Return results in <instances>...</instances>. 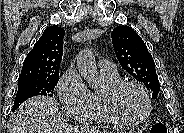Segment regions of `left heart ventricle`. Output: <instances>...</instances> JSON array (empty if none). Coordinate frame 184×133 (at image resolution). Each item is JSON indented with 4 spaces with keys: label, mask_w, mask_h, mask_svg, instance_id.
<instances>
[{
    "label": "left heart ventricle",
    "mask_w": 184,
    "mask_h": 133,
    "mask_svg": "<svg viewBox=\"0 0 184 133\" xmlns=\"http://www.w3.org/2000/svg\"><path fill=\"white\" fill-rule=\"evenodd\" d=\"M116 107L119 114L123 117L139 119L146 111V101L138 89L128 87L118 95Z\"/></svg>",
    "instance_id": "b2bd125f"
}]
</instances>
